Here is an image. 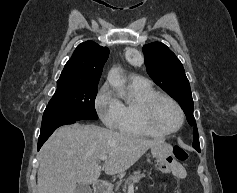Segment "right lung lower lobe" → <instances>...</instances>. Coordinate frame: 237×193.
<instances>
[{"mask_svg":"<svg viewBox=\"0 0 237 193\" xmlns=\"http://www.w3.org/2000/svg\"><path fill=\"white\" fill-rule=\"evenodd\" d=\"M79 120L65 117L54 113H44L42 118L41 132L38 139V150L49 138V136L60 126L66 124H74Z\"/></svg>","mask_w":237,"mask_h":193,"instance_id":"obj_1","label":"right lung lower lobe"}]
</instances>
